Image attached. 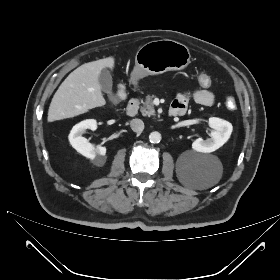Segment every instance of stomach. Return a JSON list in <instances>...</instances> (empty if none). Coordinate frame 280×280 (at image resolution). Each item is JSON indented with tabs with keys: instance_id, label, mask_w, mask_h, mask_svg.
<instances>
[{
	"instance_id": "stomach-1",
	"label": "stomach",
	"mask_w": 280,
	"mask_h": 280,
	"mask_svg": "<svg viewBox=\"0 0 280 280\" xmlns=\"http://www.w3.org/2000/svg\"><path fill=\"white\" fill-rule=\"evenodd\" d=\"M190 58L187 46L177 41L162 39L148 42L136 53L131 82L137 86L138 81L148 75L184 69L189 65Z\"/></svg>"
}]
</instances>
